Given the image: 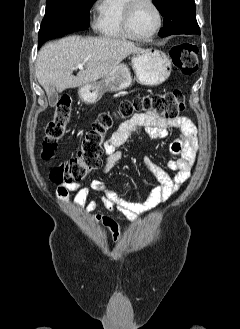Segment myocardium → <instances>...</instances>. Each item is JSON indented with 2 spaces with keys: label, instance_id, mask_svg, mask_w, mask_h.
<instances>
[{
  "label": "myocardium",
  "instance_id": "f54148a6",
  "mask_svg": "<svg viewBox=\"0 0 240 329\" xmlns=\"http://www.w3.org/2000/svg\"><path fill=\"white\" fill-rule=\"evenodd\" d=\"M140 2H147L152 6V8L155 10L156 15H157V25L155 29L148 35L145 36H139L136 35L132 32L131 27H130V20H131V15L133 12V9L136 4ZM163 26V13L160 9V7L157 5V3L154 0H128L127 4L125 5L124 11H123V17H122V28L124 34L133 40L137 41H147L152 38H154L159 31L161 30Z\"/></svg>",
  "mask_w": 240,
  "mask_h": 329
}]
</instances>
